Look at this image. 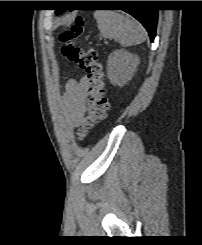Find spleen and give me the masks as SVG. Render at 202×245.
<instances>
[{"mask_svg":"<svg viewBox=\"0 0 202 245\" xmlns=\"http://www.w3.org/2000/svg\"><path fill=\"white\" fill-rule=\"evenodd\" d=\"M94 18L104 38L115 39L121 46L128 47L145 41L142 25L134 19L113 11H96Z\"/></svg>","mask_w":202,"mask_h":245,"instance_id":"3e777b00","label":"spleen"}]
</instances>
